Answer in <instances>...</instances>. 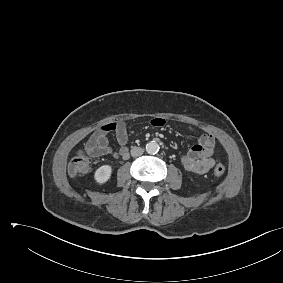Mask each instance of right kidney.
<instances>
[{"label": "right kidney", "mask_w": 283, "mask_h": 283, "mask_svg": "<svg viewBox=\"0 0 283 283\" xmlns=\"http://www.w3.org/2000/svg\"><path fill=\"white\" fill-rule=\"evenodd\" d=\"M111 173L112 167L110 165H103L95 171L94 179L98 184H104L110 179Z\"/></svg>", "instance_id": "ca27d5eb"}]
</instances>
